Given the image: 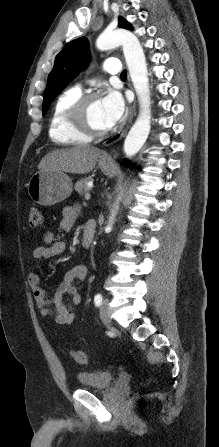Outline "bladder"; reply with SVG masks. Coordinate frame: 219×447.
I'll use <instances>...</instances> for the list:
<instances>
[{
	"label": "bladder",
	"instance_id": "31cf9c89",
	"mask_svg": "<svg viewBox=\"0 0 219 447\" xmlns=\"http://www.w3.org/2000/svg\"><path fill=\"white\" fill-rule=\"evenodd\" d=\"M115 374L110 371L79 372L77 382L84 389L104 390L114 382Z\"/></svg>",
	"mask_w": 219,
	"mask_h": 447
}]
</instances>
